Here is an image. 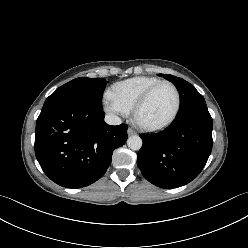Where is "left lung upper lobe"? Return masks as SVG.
Here are the masks:
<instances>
[{
    "label": "left lung upper lobe",
    "instance_id": "1",
    "mask_svg": "<svg viewBox=\"0 0 248 248\" xmlns=\"http://www.w3.org/2000/svg\"><path fill=\"white\" fill-rule=\"evenodd\" d=\"M160 75L173 82L177 90L179 91L180 108L178 115L186 112L196 105L205 103V99L203 98V96L189 82L183 80L182 78L169 74Z\"/></svg>",
    "mask_w": 248,
    "mask_h": 248
}]
</instances>
